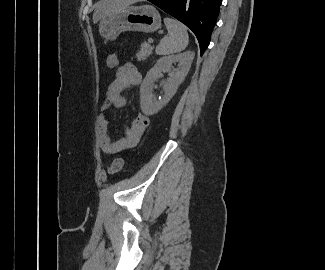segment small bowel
Returning a JSON list of instances; mask_svg holds the SVG:
<instances>
[{
	"label": "small bowel",
	"instance_id": "small-bowel-1",
	"mask_svg": "<svg viewBox=\"0 0 325 270\" xmlns=\"http://www.w3.org/2000/svg\"><path fill=\"white\" fill-rule=\"evenodd\" d=\"M140 82L141 75L133 64L128 63L117 68L116 77L108 87L106 99L101 105V113L97 121L99 146L103 153L115 154L134 147L148 127L149 118L138 113L135 119L125 127L124 135L119 140L112 141L108 133V120L104 114L110 107H124L127 101L122 92L137 86Z\"/></svg>",
	"mask_w": 325,
	"mask_h": 270
}]
</instances>
